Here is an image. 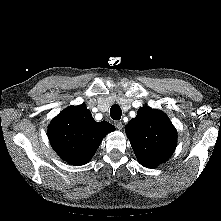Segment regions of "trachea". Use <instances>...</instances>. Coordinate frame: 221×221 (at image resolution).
<instances>
[{"instance_id":"3493384b","label":"trachea","mask_w":221,"mask_h":221,"mask_svg":"<svg viewBox=\"0 0 221 221\" xmlns=\"http://www.w3.org/2000/svg\"><path fill=\"white\" fill-rule=\"evenodd\" d=\"M110 115L113 120H120L122 116V111L119 105L114 104L110 108Z\"/></svg>"}]
</instances>
